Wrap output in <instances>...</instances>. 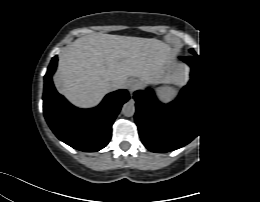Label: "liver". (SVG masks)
Listing matches in <instances>:
<instances>
[{
    "instance_id": "obj_1",
    "label": "liver",
    "mask_w": 260,
    "mask_h": 202,
    "mask_svg": "<svg viewBox=\"0 0 260 202\" xmlns=\"http://www.w3.org/2000/svg\"><path fill=\"white\" fill-rule=\"evenodd\" d=\"M151 57L157 66L166 65L168 45L120 35H86L60 53L55 85L75 106L92 107L112 90V81L124 87L126 76H140Z\"/></svg>"
}]
</instances>
